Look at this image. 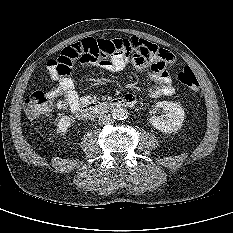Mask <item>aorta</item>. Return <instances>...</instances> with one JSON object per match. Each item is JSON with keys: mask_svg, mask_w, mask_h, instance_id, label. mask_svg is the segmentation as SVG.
<instances>
[{"mask_svg": "<svg viewBox=\"0 0 233 233\" xmlns=\"http://www.w3.org/2000/svg\"><path fill=\"white\" fill-rule=\"evenodd\" d=\"M112 116L117 120H125L129 117V112L123 108H115L112 111Z\"/></svg>", "mask_w": 233, "mask_h": 233, "instance_id": "762f6f07", "label": "aorta"}]
</instances>
